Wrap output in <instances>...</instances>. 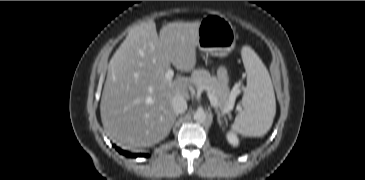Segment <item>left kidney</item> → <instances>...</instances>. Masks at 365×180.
<instances>
[{
	"mask_svg": "<svg viewBox=\"0 0 365 180\" xmlns=\"http://www.w3.org/2000/svg\"><path fill=\"white\" fill-rule=\"evenodd\" d=\"M226 137H227V140L230 144H232L233 146L238 145L239 140H238L237 136L234 133L229 132V133H227Z\"/></svg>",
	"mask_w": 365,
	"mask_h": 180,
	"instance_id": "5707ae66",
	"label": "left kidney"
}]
</instances>
